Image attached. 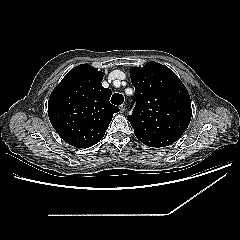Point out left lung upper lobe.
I'll return each instance as SVG.
<instances>
[{
    "label": "left lung upper lobe",
    "instance_id": "5c2ea615",
    "mask_svg": "<svg viewBox=\"0 0 240 240\" xmlns=\"http://www.w3.org/2000/svg\"><path fill=\"white\" fill-rule=\"evenodd\" d=\"M130 76L136 106L127 119L135 135L179 139L192 115L190 96L181 80L157 62L131 69Z\"/></svg>",
    "mask_w": 240,
    "mask_h": 240
}]
</instances>
